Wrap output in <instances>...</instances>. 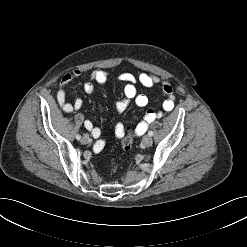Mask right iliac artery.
<instances>
[{
    "label": "right iliac artery",
    "instance_id": "right-iliac-artery-1",
    "mask_svg": "<svg viewBox=\"0 0 247 247\" xmlns=\"http://www.w3.org/2000/svg\"><path fill=\"white\" fill-rule=\"evenodd\" d=\"M76 139L77 140H80L81 139V136L79 134L76 135Z\"/></svg>",
    "mask_w": 247,
    "mask_h": 247
}]
</instances>
